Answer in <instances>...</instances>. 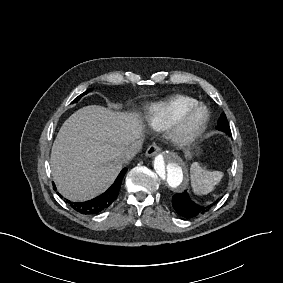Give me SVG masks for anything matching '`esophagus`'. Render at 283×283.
<instances>
[{
	"mask_svg": "<svg viewBox=\"0 0 283 283\" xmlns=\"http://www.w3.org/2000/svg\"><path fill=\"white\" fill-rule=\"evenodd\" d=\"M159 152H160V147L157 146L156 144H152L146 150V156L147 157H153V156L157 155ZM168 156L175 159V160H180L179 156H177L175 153L170 152L168 154Z\"/></svg>",
	"mask_w": 283,
	"mask_h": 283,
	"instance_id": "obj_1",
	"label": "esophagus"
}]
</instances>
